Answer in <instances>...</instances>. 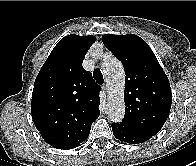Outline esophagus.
Segmentation results:
<instances>
[{"instance_id":"esophagus-1","label":"esophagus","mask_w":196,"mask_h":166,"mask_svg":"<svg viewBox=\"0 0 196 166\" xmlns=\"http://www.w3.org/2000/svg\"><path fill=\"white\" fill-rule=\"evenodd\" d=\"M102 89H103L104 91H107V89H108V85H107L106 83H105V84H103Z\"/></svg>"}]
</instances>
